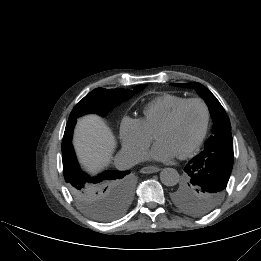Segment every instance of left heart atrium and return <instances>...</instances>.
I'll list each match as a JSON object with an SVG mask.
<instances>
[{"label": "left heart atrium", "mask_w": 261, "mask_h": 261, "mask_svg": "<svg viewBox=\"0 0 261 261\" xmlns=\"http://www.w3.org/2000/svg\"><path fill=\"white\" fill-rule=\"evenodd\" d=\"M176 155L177 151L166 141H158L149 153V157L156 161H169Z\"/></svg>", "instance_id": "1"}]
</instances>
